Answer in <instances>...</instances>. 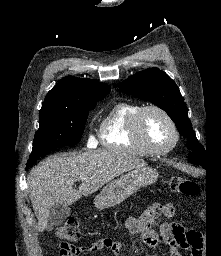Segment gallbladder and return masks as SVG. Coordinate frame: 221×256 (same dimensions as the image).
<instances>
[{
  "mask_svg": "<svg viewBox=\"0 0 221 256\" xmlns=\"http://www.w3.org/2000/svg\"><path fill=\"white\" fill-rule=\"evenodd\" d=\"M70 215V207L64 204L56 203L50 208L48 230L54 226L61 225Z\"/></svg>",
  "mask_w": 221,
  "mask_h": 256,
  "instance_id": "obj_1",
  "label": "gallbladder"
}]
</instances>
